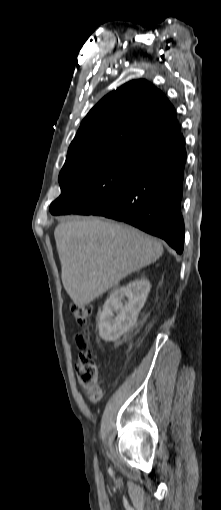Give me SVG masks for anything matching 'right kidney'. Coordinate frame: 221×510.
Segmentation results:
<instances>
[{"instance_id":"right-kidney-1","label":"right kidney","mask_w":221,"mask_h":510,"mask_svg":"<svg viewBox=\"0 0 221 510\" xmlns=\"http://www.w3.org/2000/svg\"><path fill=\"white\" fill-rule=\"evenodd\" d=\"M150 288L149 280L140 278L113 290L97 321L99 336L103 340L115 341L136 324Z\"/></svg>"}]
</instances>
